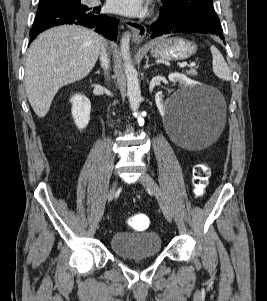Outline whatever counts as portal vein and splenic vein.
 <instances>
[{
    "label": "portal vein and splenic vein",
    "instance_id": "obj_1",
    "mask_svg": "<svg viewBox=\"0 0 267 301\" xmlns=\"http://www.w3.org/2000/svg\"><path fill=\"white\" fill-rule=\"evenodd\" d=\"M183 66H185V65H181V67H183ZM189 66H190V67H196V63H195V62H192V63L189 64Z\"/></svg>",
    "mask_w": 267,
    "mask_h": 301
}]
</instances>
